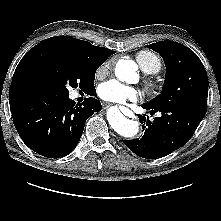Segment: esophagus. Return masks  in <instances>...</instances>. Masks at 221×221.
<instances>
[{
    "label": "esophagus",
    "mask_w": 221,
    "mask_h": 221,
    "mask_svg": "<svg viewBox=\"0 0 221 221\" xmlns=\"http://www.w3.org/2000/svg\"><path fill=\"white\" fill-rule=\"evenodd\" d=\"M104 107L107 108V107H109V105L105 104Z\"/></svg>",
    "instance_id": "esophagus-1"
}]
</instances>
